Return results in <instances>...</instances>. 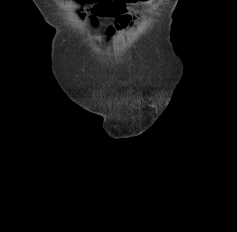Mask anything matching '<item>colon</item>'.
Here are the masks:
<instances>
[{"label":"colon","mask_w":237,"mask_h":232,"mask_svg":"<svg viewBox=\"0 0 237 232\" xmlns=\"http://www.w3.org/2000/svg\"><path fill=\"white\" fill-rule=\"evenodd\" d=\"M136 1L137 0H127V2ZM123 4V0H117L116 3L112 1H103L97 6V12L100 14H114L122 7Z\"/></svg>","instance_id":"1"}]
</instances>
